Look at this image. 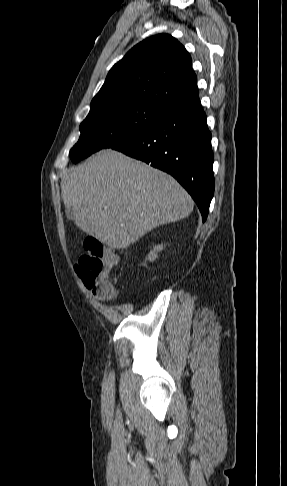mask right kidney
I'll return each mask as SVG.
<instances>
[{
    "instance_id": "right-kidney-1",
    "label": "right kidney",
    "mask_w": 287,
    "mask_h": 486,
    "mask_svg": "<svg viewBox=\"0 0 287 486\" xmlns=\"http://www.w3.org/2000/svg\"><path fill=\"white\" fill-rule=\"evenodd\" d=\"M162 250V245H157L153 248V250L150 251V253L148 254V257L147 259L149 261H154L156 258H157V253Z\"/></svg>"
}]
</instances>
